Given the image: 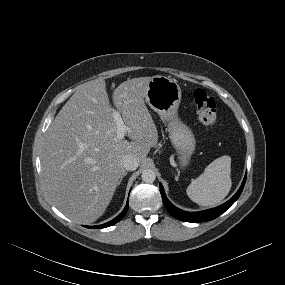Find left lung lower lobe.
Returning a JSON list of instances; mask_svg holds the SVG:
<instances>
[{
    "instance_id": "obj_1",
    "label": "left lung lower lobe",
    "mask_w": 285,
    "mask_h": 285,
    "mask_svg": "<svg viewBox=\"0 0 285 285\" xmlns=\"http://www.w3.org/2000/svg\"><path fill=\"white\" fill-rule=\"evenodd\" d=\"M245 181H246V176L243 179V182L241 184L240 189L226 203H224L218 207H215V208H212L209 210H205V211H200V212H186V211H183V210L175 207L167 199L162 184H160V192L162 195L163 203H164L166 209L168 210V212L172 216H174L175 218H177L181 221H185V222H204V221L213 220V219L217 218L219 215H221L223 212H225L239 198V196H240V194L244 188Z\"/></svg>"
}]
</instances>
